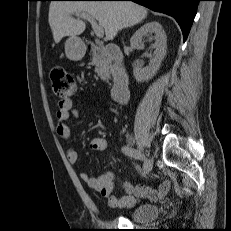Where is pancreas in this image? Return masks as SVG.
I'll use <instances>...</instances> for the list:
<instances>
[{"mask_svg":"<svg viewBox=\"0 0 231 231\" xmlns=\"http://www.w3.org/2000/svg\"><path fill=\"white\" fill-rule=\"evenodd\" d=\"M91 64L95 65V72L103 81L110 79V75L113 73V66L106 56L94 55Z\"/></svg>","mask_w":231,"mask_h":231,"instance_id":"obj_1","label":"pancreas"}]
</instances>
